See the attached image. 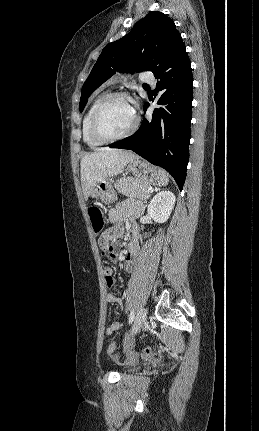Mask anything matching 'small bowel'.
<instances>
[{
	"label": "small bowel",
	"instance_id": "obj_1",
	"mask_svg": "<svg viewBox=\"0 0 259 431\" xmlns=\"http://www.w3.org/2000/svg\"><path fill=\"white\" fill-rule=\"evenodd\" d=\"M133 209L128 208L126 206H118L109 211L108 218L111 223V227L105 231V236L111 240H115L123 234V225L126 220L130 218ZM139 251V243L137 239V234L135 233V239L129 243L126 252L124 253L122 259L124 261L123 267L126 272H131L133 269L134 258L137 256ZM105 274V285L108 288H112L115 285L114 276L112 269L110 267H106L104 269ZM106 300L109 303L118 304L123 306V299L116 296L113 293H108L106 296ZM120 326L117 322H112L109 327L106 329V334L111 335L119 330Z\"/></svg>",
	"mask_w": 259,
	"mask_h": 431
}]
</instances>
